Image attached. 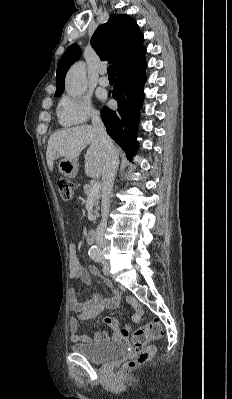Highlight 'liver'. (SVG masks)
I'll return each instance as SVG.
<instances>
[{
    "mask_svg": "<svg viewBox=\"0 0 232 399\" xmlns=\"http://www.w3.org/2000/svg\"><path fill=\"white\" fill-rule=\"evenodd\" d=\"M86 146L89 148L85 154V174L88 178H99L106 166V148L99 142L98 134L93 126L66 128L50 136L46 152L50 172L53 170L54 160L58 158L77 160ZM115 150L119 154L118 148Z\"/></svg>",
    "mask_w": 232,
    "mask_h": 399,
    "instance_id": "6515ba94",
    "label": "liver"
}]
</instances>
